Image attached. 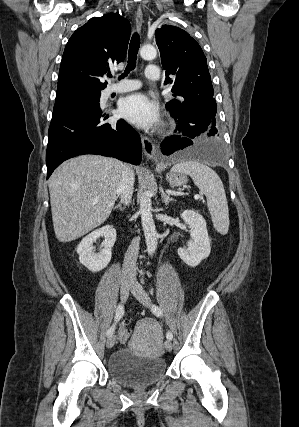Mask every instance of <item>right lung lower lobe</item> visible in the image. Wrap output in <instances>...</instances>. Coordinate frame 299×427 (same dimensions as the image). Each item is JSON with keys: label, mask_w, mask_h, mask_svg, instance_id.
Segmentation results:
<instances>
[{"label": "right lung lower lobe", "mask_w": 299, "mask_h": 427, "mask_svg": "<svg viewBox=\"0 0 299 427\" xmlns=\"http://www.w3.org/2000/svg\"><path fill=\"white\" fill-rule=\"evenodd\" d=\"M109 117L99 100H87L53 111L46 152L47 179L63 161L82 154L115 157L138 165L142 159L138 133L124 120Z\"/></svg>", "instance_id": "98d812e1"}]
</instances>
